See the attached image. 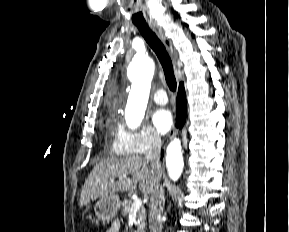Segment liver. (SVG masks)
<instances>
[{"instance_id": "6515ba94", "label": "liver", "mask_w": 289, "mask_h": 232, "mask_svg": "<svg viewBox=\"0 0 289 232\" xmlns=\"http://www.w3.org/2000/svg\"><path fill=\"white\" fill-rule=\"evenodd\" d=\"M115 178L118 180L110 181ZM160 178L161 167L152 166L143 157L132 155L103 159L88 175L81 191L79 205L83 207L90 201L114 195L116 192L134 191L137 186L142 193L149 195Z\"/></svg>"}]
</instances>
